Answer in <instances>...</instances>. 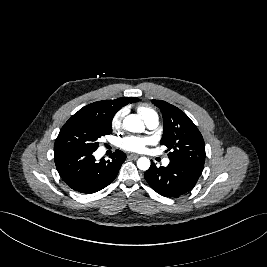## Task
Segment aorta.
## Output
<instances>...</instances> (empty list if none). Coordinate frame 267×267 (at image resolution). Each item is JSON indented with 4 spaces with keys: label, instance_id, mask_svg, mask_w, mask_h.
<instances>
[{
    "label": "aorta",
    "instance_id": "762f6f07",
    "mask_svg": "<svg viewBox=\"0 0 267 267\" xmlns=\"http://www.w3.org/2000/svg\"><path fill=\"white\" fill-rule=\"evenodd\" d=\"M123 127L129 132H143L145 128L139 116L135 114L128 115L124 118ZM137 167L143 171L148 170L150 167V160L147 157H140L137 160Z\"/></svg>",
    "mask_w": 267,
    "mask_h": 267
}]
</instances>
